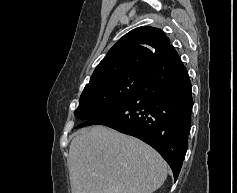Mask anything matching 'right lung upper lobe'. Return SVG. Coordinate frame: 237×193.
Segmentation results:
<instances>
[{"instance_id":"cb5924a9","label":"right lung upper lobe","mask_w":237,"mask_h":193,"mask_svg":"<svg viewBox=\"0 0 237 193\" xmlns=\"http://www.w3.org/2000/svg\"><path fill=\"white\" fill-rule=\"evenodd\" d=\"M173 51L170 40L158 28L144 26L133 29L109 50L96 67L89 84L131 73L146 74L160 57Z\"/></svg>"}]
</instances>
